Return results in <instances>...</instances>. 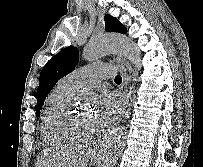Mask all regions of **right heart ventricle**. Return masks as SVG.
Returning a JSON list of instances; mask_svg holds the SVG:
<instances>
[{"instance_id": "right-heart-ventricle-1", "label": "right heart ventricle", "mask_w": 203, "mask_h": 167, "mask_svg": "<svg viewBox=\"0 0 203 167\" xmlns=\"http://www.w3.org/2000/svg\"><path fill=\"white\" fill-rule=\"evenodd\" d=\"M77 90L60 81L49 94L41 117V136L50 145L74 141L61 128V120L69 110Z\"/></svg>"}]
</instances>
